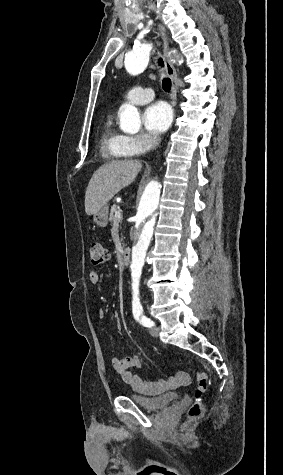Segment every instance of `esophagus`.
Instances as JSON below:
<instances>
[{"label":"esophagus","instance_id":"34e87169","mask_svg":"<svg viewBox=\"0 0 283 475\" xmlns=\"http://www.w3.org/2000/svg\"><path fill=\"white\" fill-rule=\"evenodd\" d=\"M158 33L163 41V56H164V62H165V69L167 75L170 77L172 81V105L175 106L176 102V95L178 92V80H177V74L176 70L174 68L173 63L171 62L169 51H168V37L166 35L165 28L159 24L158 25Z\"/></svg>","mask_w":283,"mask_h":475}]
</instances>
